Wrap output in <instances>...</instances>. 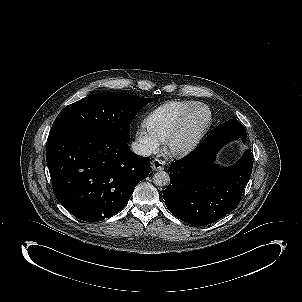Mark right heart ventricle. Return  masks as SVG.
Listing matches in <instances>:
<instances>
[{"label":"right heart ventricle","instance_id":"1","mask_svg":"<svg viewBox=\"0 0 302 302\" xmlns=\"http://www.w3.org/2000/svg\"><path fill=\"white\" fill-rule=\"evenodd\" d=\"M196 105L193 101H171L155 111L145 120L148 131L161 140L169 133L178 119Z\"/></svg>","mask_w":302,"mask_h":302}]
</instances>
